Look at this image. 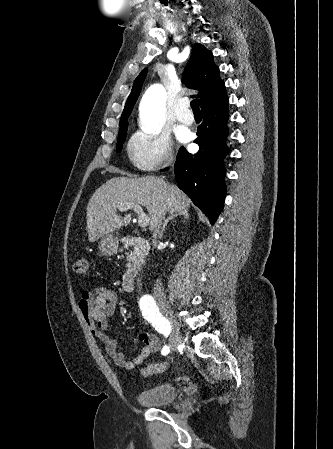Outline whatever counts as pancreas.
<instances>
[{"mask_svg":"<svg viewBox=\"0 0 333 449\" xmlns=\"http://www.w3.org/2000/svg\"><path fill=\"white\" fill-rule=\"evenodd\" d=\"M133 256H134V253H132V252H131V254H130V255H128V257H127V258H128V260H131V258H132Z\"/></svg>","mask_w":333,"mask_h":449,"instance_id":"cf45deb5","label":"pancreas"}]
</instances>
